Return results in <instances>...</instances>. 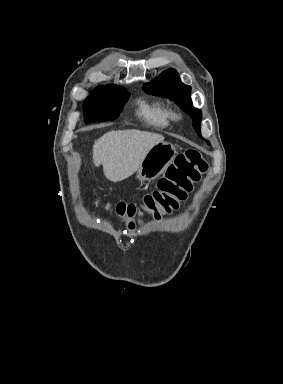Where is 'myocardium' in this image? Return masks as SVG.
<instances>
[{
  "instance_id": "f54148a6",
  "label": "myocardium",
  "mask_w": 283,
  "mask_h": 384,
  "mask_svg": "<svg viewBox=\"0 0 283 384\" xmlns=\"http://www.w3.org/2000/svg\"><path fill=\"white\" fill-rule=\"evenodd\" d=\"M174 118H179V116L178 115H174Z\"/></svg>"
}]
</instances>
